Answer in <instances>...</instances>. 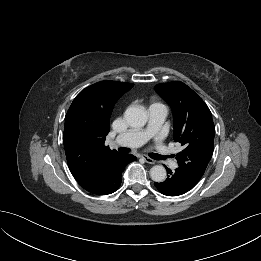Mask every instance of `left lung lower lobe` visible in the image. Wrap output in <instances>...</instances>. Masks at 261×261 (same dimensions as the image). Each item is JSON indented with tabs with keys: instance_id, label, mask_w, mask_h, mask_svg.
<instances>
[{
	"instance_id": "1",
	"label": "left lung lower lobe",
	"mask_w": 261,
	"mask_h": 261,
	"mask_svg": "<svg viewBox=\"0 0 261 261\" xmlns=\"http://www.w3.org/2000/svg\"><path fill=\"white\" fill-rule=\"evenodd\" d=\"M167 169L168 177L165 181L154 183L155 187L164 195L179 196L191 190L198 182H195L179 168L175 171Z\"/></svg>"
}]
</instances>
